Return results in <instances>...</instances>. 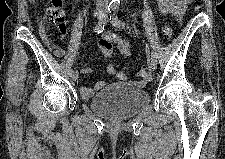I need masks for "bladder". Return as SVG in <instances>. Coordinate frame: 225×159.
Instances as JSON below:
<instances>
[{"mask_svg": "<svg viewBox=\"0 0 225 159\" xmlns=\"http://www.w3.org/2000/svg\"><path fill=\"white\" fill-rule=\"evenodd\" d=\"M149 103L147 91L130 82L109 84L89 100L93 111L112 120L132 118Z\"/></svg>", "mask_w": 225, "mask_h": 159, "instance_id": "obj_1", "label": "bladder"}]
</instances>
